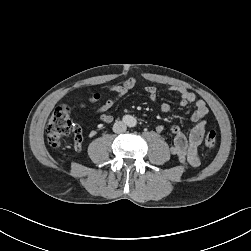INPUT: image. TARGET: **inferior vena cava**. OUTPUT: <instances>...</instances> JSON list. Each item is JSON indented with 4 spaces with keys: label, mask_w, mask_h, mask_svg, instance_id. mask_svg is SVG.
Wrapping results in <instances>:
<instances>
[{
    "label": "inferior vena cava",
    "mask_w": 251,
    "mask_h": 251,
    "mask_svg": "<svg viewBox=\"0 0 251 251\" xmlns=\"http://www.w3.org/2000/svg\"><path fill=\"white\" fill-rule=\"evenodd\" d=\"M127 129V126L124 122L122 121H116L113 125V131L115 133H123Z\"/></svg>",
    "instance_id": "inferior-vena-cava-1"
}]
</instances>
